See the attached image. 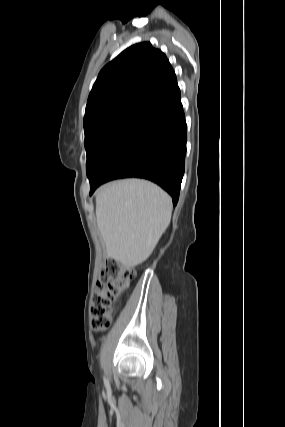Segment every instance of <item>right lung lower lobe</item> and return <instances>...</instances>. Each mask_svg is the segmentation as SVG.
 <instances>
[{"label": "right lung lower lobe", "mask_w": 285, "mask_h": 427, "mask_svg": "<svg viewBox=\"0 0 285 427\" xmlns=\"http://www.w3.org/2000/svg\"><path fill=\"white\" fill-rule=\"evenodd\" d=\"M186 122L174 85L152 101L90 179V195L104 182L125 177L151 180L177 204L186 154Z\"/></svg>", "instance_id": "right-lung-lower-lobe-1"}]
</instances>
